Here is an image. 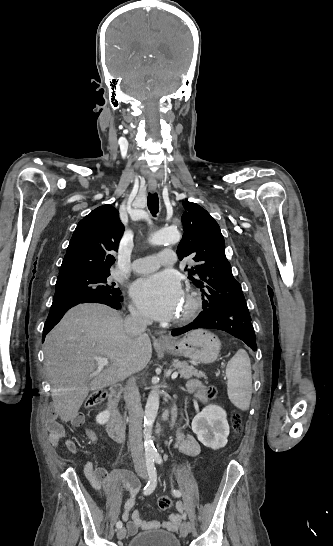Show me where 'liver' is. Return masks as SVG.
Wrapping results in <instances>:
<instances>
[{
    "label": "liver",
    "mask_w": 333,
    "mask_h": 546,
    "mask_svg": "<svg viewBox=\"0 0 333 546\" xmlns=\"http://www.w3.org/2000/svg\"><path fill=\"white\" fill-rule=\"evenodd\" d=\"M43 349L54 408L63 422L76 417L90 390L140 372L152 356L148 335L131 337L119 313L100 304L70 309L46 336ZM94 356L109 359L110 367L97 370Z\"/></svg>",
    "instance_id": "liver-1"
}]
</instances>
